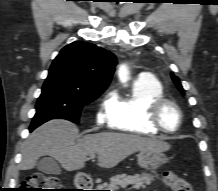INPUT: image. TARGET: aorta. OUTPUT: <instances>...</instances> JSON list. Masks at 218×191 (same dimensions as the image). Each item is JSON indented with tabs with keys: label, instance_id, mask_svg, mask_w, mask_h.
I'll return each mask as SVG.
<instances>
[{
	"label": "aorta",
	"instance_id": "obj_1",
	"mask_svg": "<svg viewBox=\"0 0 218 191\" xmlns=\"http://www.w3.org/2000/svg\"><path fill=\"white\" fill-rule=\"evenodd\" d=\"M118 77L121 82L126 83L129 79V70L125 65H121L118 70Z\"/></svg>",
	"mask_w": 218,
	"mask_h": 191
}]
</instances>
